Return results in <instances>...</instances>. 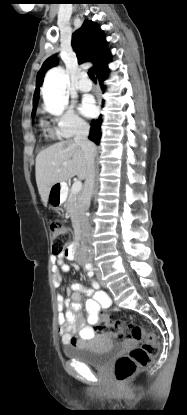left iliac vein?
<instances>
[{"instance_id":"obj_1","label":"left iliac vein","mask_w":187,"mask_h":415,"mask_svg":"<svg viewBox=\"0 0 187 415\" xmlns=\"http://www.w3.org/2000/svg\"><path fill=\"white\" fill-rule=\"evenodd\" d=\"M95 274H96V278L99 281V283L102 284L101 273L98 269H96Z\"/></svg>"}]
</instances>
